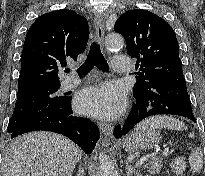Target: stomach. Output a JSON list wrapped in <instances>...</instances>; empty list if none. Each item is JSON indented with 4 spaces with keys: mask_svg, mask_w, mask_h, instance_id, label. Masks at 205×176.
I'll return each instance as SVG.
<instances>
[{
    "mask_svg": "<svg viewBox=\"0 0 205 176\" xmlns=\"http://www.w3.org/2000/svg\"><path fill=\"white\" fill-rule=\"evenodd\" d=\"M159 131L154 128L135 129L123 141V147L128 152L148 150L159 144Z\"/></svg>",
    "mask_w": 205,
    "mask_h": 176,
    "instance_id": "0dacf381",
    "label": "stomach"
}]
</instances>
